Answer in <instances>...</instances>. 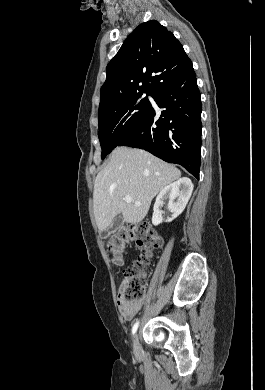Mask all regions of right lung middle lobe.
I'll list each match as a JSON object with an SVG mask.
<instances>
[{"label":"right lung middle lobe","instance_id":"right-lung-middle-lobe-1","mask_svg":"<svg viewBox=\"0 0 265 390\" xmlns=\"http://www.w3.org/2000/svg\"><path fill=\"white\" fill-rule=\"evenodd\" d=\"M141 95H134L98 111L101 159L117 147L149 111L151 103Z\"/></svg>","mask_w":265,"mask_h":390}]
</instances>
